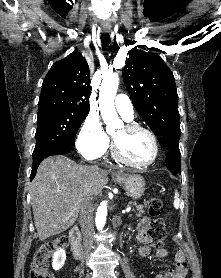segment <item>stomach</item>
<instances>
[{"instance_id": "0dacf381", "label": "stomach", "mask_w": 221, "mask_h": 278, "mask_svg": "<svg viewBox=\"0 0 221 278\" xmlns=\"http://www.w3.org/2000/svg\"><path fill=\"white\" fill-rule=\"evenodd\" d=\"M113 180L122 186L132 199L140 198L146 189L144 178L137 174H116L113 176Z\"/></svg>"}]
</instances>
